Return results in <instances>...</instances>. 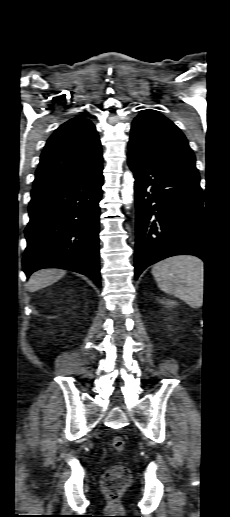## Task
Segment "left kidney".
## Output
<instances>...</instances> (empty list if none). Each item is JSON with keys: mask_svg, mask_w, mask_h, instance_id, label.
<instances>
[{"mask_svg": "<svg viewBox=\"0 0 230 517\" xmlns=\"http://www.w3.org/2000/svg\"><path fill=\"white\" fill-rule=\"evenodd\" d=\"M169 305H175V302L174 301H168L167 302Z\"/></svg>", "mask_w": 230, "mask_h": 517, "instance_id": "1", "label": "left kidney"}]
</instances>
